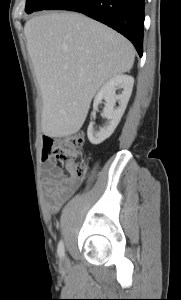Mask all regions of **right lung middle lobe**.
<instances>
[{
    "mask_svg": "<svg viewBox=\"0 0 181 300\" xmlns=\"http://www.w3.org/2000/svg\"><path fill=\"white\" fill-rule=\"evenodd\" d=\"M55 0H26L25 11L29 14L34 11L44 10Z\"/></svg>",
    "mask_w": 181,
    "mask_h": 300,
    "instance_id": "right-lung-middle-lobe-1",
    "label": "right lung middle lobe"
}]
</instances>
